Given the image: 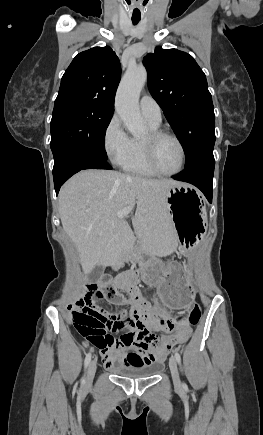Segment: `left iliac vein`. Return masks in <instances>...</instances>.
I'll return each mask as SVG.
<instances>
[{
    "label": "left iliac vein",
    "mask_w": 263,
    "mask_h": 435,
    "mask_svg": "<svg viewBox=\"0 0 263 435\" xmlns=\"http://www.w3.org/2000/svg\"><path fill=\"white\" fill-rule=\"evenodd\" d=\"M169 367H170V371H171V375H172V379H173L174 385L177 386V387L181 386V381H180V377H179L177 362H176V359L174 357L170 358V360H169Z\"/></svg>",
    "instance_id": "4c4485c4"
}]
</instances>
